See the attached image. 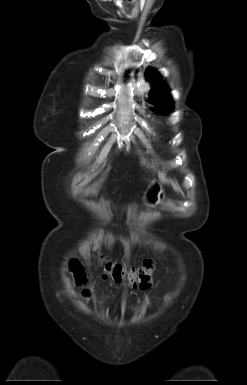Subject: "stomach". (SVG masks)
I'll use <instances>...</instances> for the list:
<instances>
[{
    "label": "stomach",
    "instance_id": "stomach-1",
    "mask_svg": "<svg viewBox=\"0 0 247 385\" xmlns=\"http://www.w3.org/2000/svg\"><path fill=\"white\" fill-rule=\"evenodd\" d=\"M164 196L165 194L161 184L154 182L145 192L144 200L147 204L155 206L163 201Z\"/></svg>",
    "mask_w": 247,
    "mask_h": 385
}]
</instances>
